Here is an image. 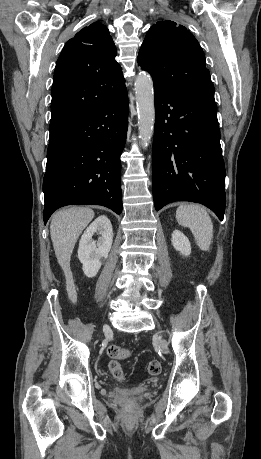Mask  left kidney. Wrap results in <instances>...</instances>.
<instances>
[{"mask_svg": "<svg viewBox=\"0 0 261 459\" xmlns=\"http://www.w3.org/2000/svg\"><path fill=\"white\" fill-rule=\"evenodd\" d=\"M172 245L183 256H189L191 253V245L189 239L179 230H174L172 233Z\"/></svg>", "mask_w": 261, "mask_h": 459, "instance_id": "obj_1", "label": "left kidney"}]
</instances>
